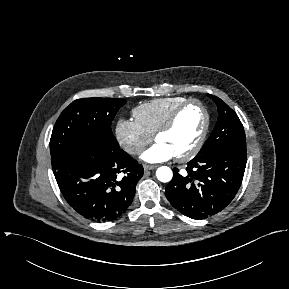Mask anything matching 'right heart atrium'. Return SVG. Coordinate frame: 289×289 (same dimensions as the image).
Instances as JSON below:
<instances>
[{
    "label": "right heart atrium",
    "instance_id": "right-heart-atrium-1",
    "mask_svg": "<svg viewBox=\"0 0 289 289\" xmlns=\"http://www.w3.org/2000/svg\"><path fill=\"white\" fill-rule=\"evenodd\" d=\"M115 137L119 145L130 155L136 156L152 141L139 124L130 119L120 118L115 125Z\"/></svg>",
    "mask_w": 289,
    "mask_h": 289
}]
</instances>
